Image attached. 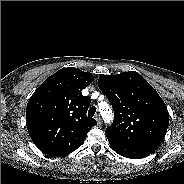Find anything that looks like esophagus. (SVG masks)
Returning a JSON list of instances; mask_svg holds the SVG:
<instances>
[{"instance_id":"obj_1","label":"esophagus","mask_w":184,"mask_h":184,"mask_svg":"<svg viewBox=\"0 0 184 184\" xmlns=\"http://www.w3.org/2000/svg\"><path fill=\"white\" fill-rule=\"evenodd\" d=\"M95 119H96V121H97V123L99 124V125H101V117L99 116V115H96L95 116Z\"/></svg>"}]
</instances>
